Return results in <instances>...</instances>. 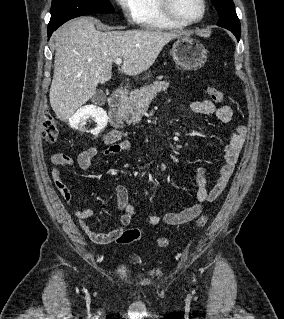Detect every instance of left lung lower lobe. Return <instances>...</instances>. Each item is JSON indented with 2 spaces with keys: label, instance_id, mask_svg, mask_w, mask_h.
<instances>
[{
  "label": "left lung lower lobe",
  "instance_id": "1",
  "mask_svg": "<svg viewBox=\"0 0 284 319\" xmlns=\"http://www.w3.org/2000/svg\"><path fill=\"white\" fill-rule=\"evenodd\" d=\"M237 38V40L239 41L240 39V35H241V31L240 32H237V31H233V30H230Z\"/></svg>",
  "mask_w": 284,
  "mask_h": 319
}]
</instances>
